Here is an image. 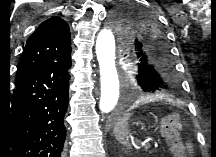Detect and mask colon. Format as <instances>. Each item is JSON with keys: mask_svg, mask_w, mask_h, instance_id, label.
<instances>
[{"mask_svg": "<svg viewBox=\"0 0 216 157\" xmlns=\"http://www.w3.org/2000/svg\"><path fill=\"white\" fill-rule=\"evenodd\" d=\"M182 126L180 117L172 113L165 117L162 122V127L167 134H174L177 129Z\"/></svg>", "mask_w": 216, "mask_h": 157, "instance_id": "obj_1", "label": "colon"}]
</instances>
